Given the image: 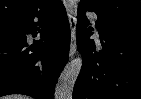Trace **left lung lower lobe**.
<instances>
[{
  "label": "left lung lower lobe",
  "mask_w": 141,
  "mask_h": 99,
  "mask_svg": "<svg viewBox=\"0 0 141 99\" xmlns=\"http://www.w3.org/2000/svg\"><path fill=\"white\" fill-rule=\"evenodd\" d=\"M79 5L76 27L83 65L73 99H141V24L115 22L97 15L102 50L90 39L92 28ZM91 11V10H89Z\"/></svg>",
  "instance_id": "1"
}]
</instances>
